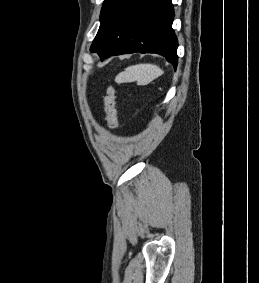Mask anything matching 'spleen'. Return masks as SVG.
Masks as SVG:
<instances>
[{
  "label": "spleen",
  "instance_id": "1",
  "mask_svg": "<svg viewBox=\"0 0 259 283\" xmlns=\"http://www.w3.org/2000/svg\"><path fill=\"white\" fill-rule=\"evenodd\" d=\"M163 74V70L154 64H138L130 66L118 75L122 82L137 81L139 85H147Z\"/></svg>",
  "mask_w": 259,
  "mask_h": 283
}]
</instances>
